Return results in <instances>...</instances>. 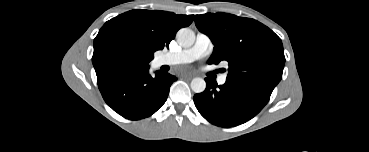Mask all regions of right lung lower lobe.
<instances>
[{
    "mask_svg": "<svg viewBox=\"0 0 369 152\" xmlns=\"http://www.w3.org/2000/svg\"><path fill=\"white\" fill-rule=\"evenodd\" d=\"M175 76L157 71L149 74V67L134 69L98 82L105 102L118 114L139 120L151 116L167 100Z\"/></svg>",
    "mask_w": 369,
    "mask_h": 152,
    "instance_id": "1",
    "label": "right lung lower lobe"
}]
</instances>
